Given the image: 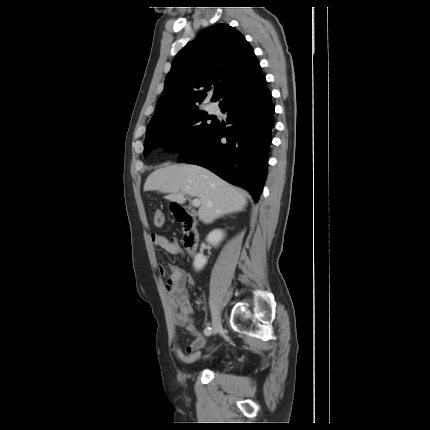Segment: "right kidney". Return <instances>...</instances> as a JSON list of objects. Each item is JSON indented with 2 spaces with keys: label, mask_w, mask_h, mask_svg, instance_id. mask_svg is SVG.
I'll return each instance as SVG.
<instances>
[{
  "label": "right kidney",
  "mask_w": 430,
  "mask_h": 430,
  "mask_svg": "<svg viewBox=\"0 0 430 430\" xmlns=\"http://www.w3.org/2000/svg\"><path fill=\"white\" fill-rule=\"evenodd\" d=\"M223 237H224L223 231L221 229H215L209 233L206 240L210 244L216 246L223 239ZM206 263H207V259L203 257L202 253H198L195 257L193 267L195 268L196 271H199L203 269Z\"/></svg>",
  "instance_id": "obj_1"
}]
</instances>
